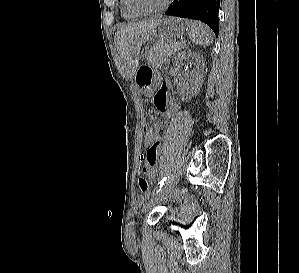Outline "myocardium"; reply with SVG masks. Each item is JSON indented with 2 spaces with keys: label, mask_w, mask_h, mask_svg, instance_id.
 <instances>
[{
  "label": "myocardium",
  "mask_w": 299,
  "mask_h": 273,
  "mask_svg": "<svg viewBox=\"0 0 299 273\" xmlns=\"http://www.w3.org/2000/svg\"><path fill=\"white\" fill-rule=\"evenodd\" d=\"M170 1L171 0H164L163 3L159 7L154 8V9H148V8L142 7L136 0H126L128 8L131 11H133L134 13L142 15V16L156 15V14L163 12L170 4Z\"/></svg>",
  "instance_id": "f54148a6"
}]
</instances>
